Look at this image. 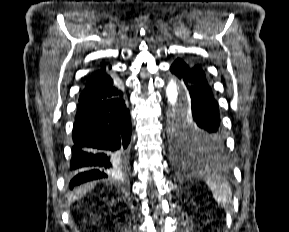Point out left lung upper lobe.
<instances>
[{
	"label": "left lung upper lobe",
	"mask_w": 289,
	"mask_h": 232,
	"mask_svg": "<svg viewBox=\"0 0 289 232\" xmlns=\"http://www.w3.org/2000/svg\"><path fill=\"white\" fill-rule=\"evenodd\" d=\"M172 146L182 153H205L216 151L195 125L180 115L171 120Z\"/></svg>",
	"instance_id": "obj_1"
}]
</instances>
